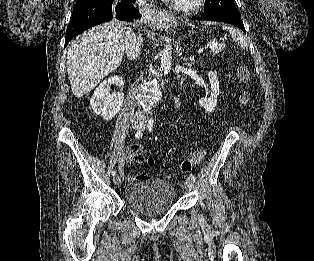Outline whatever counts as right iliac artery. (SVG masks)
I'll list each match as a JSON object with an SVG mask.
<instances>
[{
    "label": "right iliac artery",
    "mask_w": 314,
    "mask_h": 261,
    "mask_svg": "<svg viewBox=\"0 0 314 261\" xmlns=\"http://www.w3.org/2000/svg\"><path fill=\"white\" fill-rule=\"evenodd\" d=\"M140 137H142V132L141 131H137V133L135 134V138L139 139ZM112 175L113 176L116 175V171L115 170L112 171Z\"/></svg>",
    "instance_id": "obj_1"
}]
</instances>
